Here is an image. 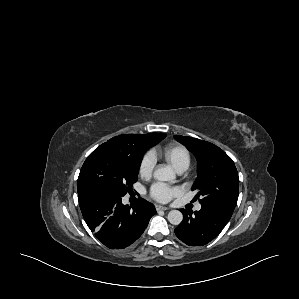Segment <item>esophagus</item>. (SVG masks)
<instances>
[{
  "mask_svg": "<svg viewBox=\"0 0 299 299\" xmlns=\"http://www.w3.org/2000/svg\"><path fill=\"white\" fill-rule=\"evenodd\" d=\"M155 208H156V210H163V211L169 210L168 207L161 206V205H156Z\"/></svg>",
  "mask_w": 299,
  "mask_h": 299,
  "instance_id": "obj_1",
  "label": "esophagus"
}]
</instances>
